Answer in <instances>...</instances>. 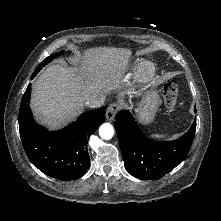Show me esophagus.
Wrapping results in <instances>:
<instances>
[{"label": "esophagus", "instance_id": "obj_1", "mask_svg": "<svg viewBox=\"0 0 221 221\" xmlns=\"http://www.w3.org/2000/svg\"><path fill=\"white\" fill-rule=\"evenodd\" d=\"M119 109H120V106L118 104L116 103L110 104L106 110V120L112 121L114 117L116 116Z\"/></svg>", "mask_w": 221, "mask_h": 221}]
</instances>
